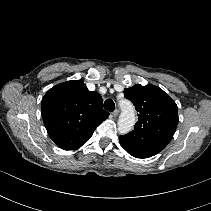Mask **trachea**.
Segmentation results:
<instances>
[{
	"mask_svg": "<svg viewBox=\"0 0 211 211\" xmlns=\"http://www.w3.org/2000/svg\"><path fill=\"white\" fill-rule=\"evenodd\" d=\"M104 109L109 111V112H112L114 111L115 109V104L113 102L112 99H106L105 102H104Z\"/></svg>",
	"mask_w": 211,
	"mask_h": 211,
	"instance_id": "obj_1",
	"label": "trachea"
}]
</instances>
